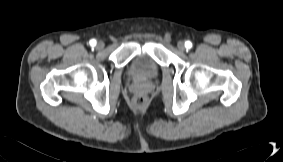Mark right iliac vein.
<instances>
[{"instance_id":"63e3f726","label":"right iliac vein","mask_w":283,"mask_h":162,"mask_svg":"<svg viewBox=\"0 0 283 162\" xmlns=\"http://www.w3.org/2000/svg\"><path fill=\"white\" fill-rule=\"evenodd\" d=\"M97 49H103L104 48V42H102V41H99L98 43H97Z\"/></svg>"}]
</instances>
